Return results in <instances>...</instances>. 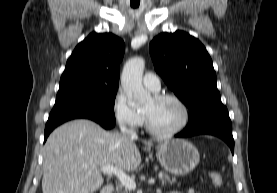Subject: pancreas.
Wrapping results in <instances>:
<instances>
[{"label": "pancreas", "mask_w": 277, "mask_h": 193, "mask_svg": "<svg viewBox=\"0 0 277 193\" xmlns=\"http://www.w3.org/2000/svg\"><path fill=\"white\" fill-rule=\"evenodd\" d=\"M158 178L161 180V183L162 184H165V183H169L171 184L172 182H175L176 179L175 178H170V176L164 172V171H160L159 174H158ZM116 192L117 193H129L128 192V189L125 188L123 185H120L116 188Z\"/></svg>", "instance_id": "1"}]
</instances>
